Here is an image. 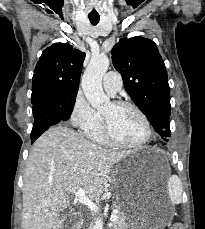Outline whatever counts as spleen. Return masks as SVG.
Here are the masks:
<instances>
[{
  "instance_id": "3e777b00",
  "label": "spleen",
  "mask_w": 205,
  "mask_h": 229,
  "mask_svg": "<svg viewBox=\"0 0 205 229\" xmlns=\"http://www.w3.org/2000/svg\"><path fill=\"white\" fill-rule=\"evenodd\" d=\"M167 190L173 204H180L182 202V182L177 175H172L169 178Z\"/></svg>"
}]
</instances>
